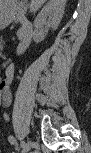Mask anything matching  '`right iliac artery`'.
Returning <instances> with one entry per match:
<instances>
[{
  "label": "right iliac artery",
  "instance_id": "1",
  "mask_svg": "<svg viewBox=\"0 0 91 153\" xmlns=\"http://www.w3.org/2000/svg\"><path fill=\"white\" fill-rule=\"evenodd\" d=\"M26 146V143L24 141H21V147L24 148Z\"/></svg>",
  "mask_w": 91,
  "mask_h": 153
}]
</instances>
